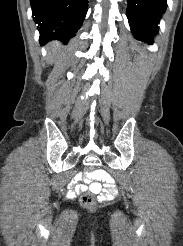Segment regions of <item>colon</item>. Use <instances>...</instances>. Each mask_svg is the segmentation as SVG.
Masks as SVG:
<instances>
[{
	"mask_svg": "<svg viewBox=\"0 0 183 246\" xmlns=\"http://www.w3.org/2000/svg\"><path fill=\"white\" fill-rule=\"evenodd\" d=\"M95 170V167H84V172H92ZM81 203L86 208H93L95 206L96 200L91 193H84L81 196Z\"/></svg>",
	"mask_w": 183,
	"mask_h": 246,
	"instance_id": "obj_1",
	"label": "colon"
}]
</instances>
